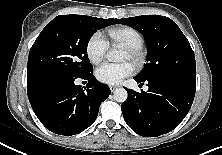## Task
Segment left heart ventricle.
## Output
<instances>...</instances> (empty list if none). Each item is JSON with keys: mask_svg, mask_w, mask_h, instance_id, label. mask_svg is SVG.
Returning a JSON list of instances; mask_svg holds the SVG:
<instances>
[{"mask_svg": "<svg viewBox=\"0 0 222 155\" xmlns=\"http://www.w3.org/2000/svg\"><path fill=\"white\" fill-rule=\"evenodd\" d=\"M122 60H124V61L129 60V55H128V53L126 51L124 52Z\"/></svg>", "mask_w": 222, "mask_h": 155, "instance_id": "left-heart-ventricle-1", "label": "left heart ventricle"}]
</instances>
